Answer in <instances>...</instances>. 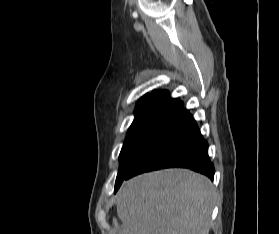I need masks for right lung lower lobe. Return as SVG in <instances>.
Masks as SVG:
<instances>
[{"instance_id":"1","label":"right lung lower lobe","mask_w":279,"mask_h":234,"mask_svg":"<svg viewBox=\"0 0 279 234\" xmlns=\"http://www.w3.org/2000/svg\"><path fill=\"white\" fill-rule=\"evenodd\" d=\"M169 167H184L200 172L211 180L214 167L208 156V143L203 139L192 115L176 105L162 120L132 161L124 178Z\"/></svg>"}]
</instances>
